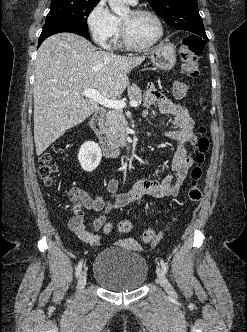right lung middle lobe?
<instances>
[{"label":"right lung middle lobe","instance_id":"right-lung-middle-lobe-1","mask_svg":"<svg viewBox=\"0 0 247 332\" xmlns=\"http://www.w3.org/2000/svg\"><path fill=\"white\" fill-rule=\"evenodd\" d=\"M100 0H51L45 23L65 21L87 27V17Z\"/></svg>","mask_w":247,"mask_h":332}]
</instances>
